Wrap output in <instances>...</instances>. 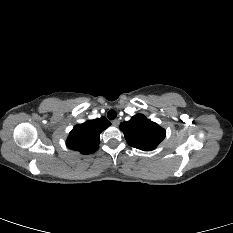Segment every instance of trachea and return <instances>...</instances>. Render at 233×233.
Here are the masks:
<instances>
[{"mask_svg": "<svg viewBox=\"0 0 233 233\" xmlns=\"http://www.w3.org/2000/svg\"><path fill=\"white\" fill-rule=\"evenodd\" d=\"M107 117L110 119V120H114L116 117H117V112L115 110H110L108 111L107 113Z\"/></svg>", "mask_w": 233, "mask_h": 233, "instance_id": "obj_1", "label": "trachea"}]
</instances>
